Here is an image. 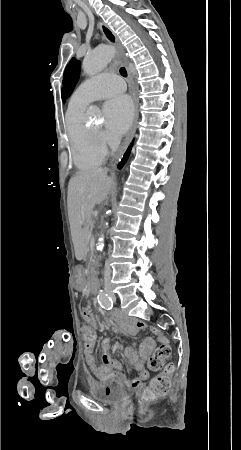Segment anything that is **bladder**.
<instances>
[{
    "label": "bladder",
    "instance_id": "bladder-1",
    "mask_svg": "<svg viewBox=\"0 0 241 450\" xmlns=\"http://www.w3.org/2000/svg\"><path fill=\"white\" fill-rule=\"evenodd\" d=\"M92 395L99 401L116 402L126 395L125 387L116 382H106L92 391Z\"/></svg>",
    "mask_w": 241,
    "mask_h": 450
}]
</instances>
